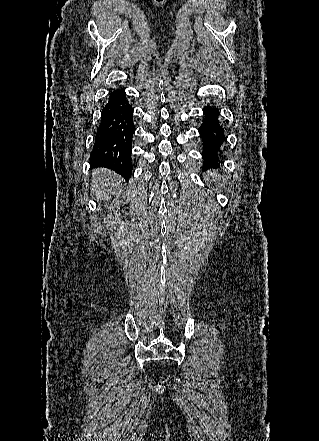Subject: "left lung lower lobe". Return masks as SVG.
<instances>
[{
    "mask_svg": "<svg viewBox=\"0 0 319 441\" xmlns=\"http://www.w3.org/2000/svg\"><path fill=\"white\" fill-rule=\"evenodd\" d=\"M203 113L205 119L199 128L203 142L202 156L204 164L212 167L220 157L221 146L226 137L223 126L219 122L218 110L207 106L203 109Z\"/></svg>",
    "mask_w": 319,
    "mask_h": 441,
    "instance_id": "0a47b994",
    "label": "left lung lower lobe"
}]
</instances>
